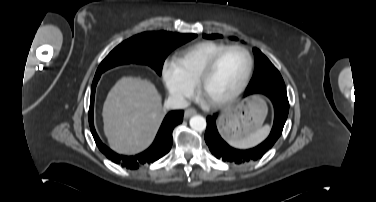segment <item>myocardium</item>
Returning <instances> with one entry per match:
<instances>
[{"instance_id":"myocardium-1","label":"myocardium","mask_w":376,"mask_h":202,"mask_svg":"<svg viewBox=\"0 0 376 202\" xmlns=\"http://www.w3.org/2000/svg\"><path fill=\"white\" fill-rule=\"evenodd\" d=\"M231 50H239V51H241L242 53L245 54V56L247 58V68H246L245 74H244L240 84L231 93H229L228 95H226L222 98H219V99H210L206 94L207 81H208L209 77L211 76V74L214 72L217 65L219 64L222 57L227 52H229ZM253 65H254L253 56L246 47L241 46V45L226 46L221 51H219L217 54H215L207 62V64L204 66L203 70L201 71V73L198 77L197 83H196L199 94L207 102V104L212 106V107L219 108V107H223V106L229 104L230 102L235 100L245 90V88H246V86L249 82L252 70H253Z\"/></svg>"}]
</instances>
